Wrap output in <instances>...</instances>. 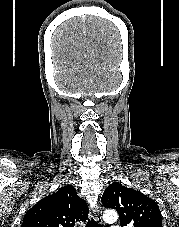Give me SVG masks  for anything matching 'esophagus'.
Masks as SVG:
<instances>
[{"instance_id":"1","label":"esophagus","mask_w":179,"mask_h":227,"mask_svg":"<svg viewBox=\"0 0 179 227\" xmlns=\"http://www.w3.org/2000/svg\"><path fill=\"white\" fill-rule=\"evenodd\" d=\"M95 219L99 224H101V225L103 224L102 210L99 205L95 208Z\"/></svg>"}]
</instances>
